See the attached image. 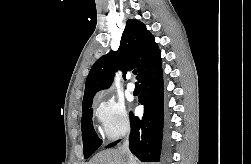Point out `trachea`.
I'll list each match as a JSON object with an SVG mask.
<instances>
[{
  "mask_svg": "<svg viewBox=\"0 0 251 164\" xmlns=\"http://www.w3.org/2000/svg\"><path fill=\"white\" fill-rule=\"evenodd\" d=\"M133 74L136 75L137 74V70H133Z\"/></svg>",
  "mask_w": 251,
  "mask_h": 164,
  "instance_id": "trachea-1",
  "label": "trachea"
}]
</instances>
